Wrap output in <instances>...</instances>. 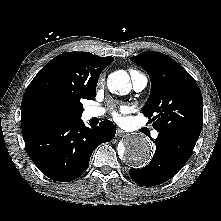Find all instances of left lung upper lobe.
<instances>
[{
	"label": "left lung upper lobe",
	"instance_id": "obj_1",
	"mask_svg": "<svg viewBox=\"0 0 221 221\" xmlns=\"http://www.w3.org/2000/svg\"><path fill=\"white\" fill-rule=\"evenodd\" d=\"M151 79L150 96L141 111L152 118L159 133H171L197 142L203 124V98L193 77L175 60L159 52L130 58Z\"/></svg>",
	"mask_w": 221,
	"mask_h": 221
}]
</instances>
